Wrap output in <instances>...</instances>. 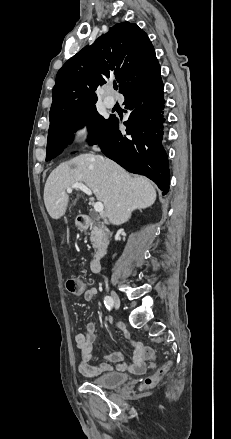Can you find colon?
I'll use <instances>...</instances> for the list:
<instances>
[{
  "label": "colon",
  "instance_id": "obj_1",
  "mask_svg": "<svg viewBox=\"0 0 231 439\" xmlns=\"http://www.w3.org/2000/svg\"><path fill=\"white\" fill-rule=\"evenodd\" d=\"M66 287H67V290L73 294H81L85 291L86 284L83 280H81L79 278H69L66 282ZM144 357L147 359L153 358V351L151 348L145 347ZM169 367H170V365L167 363V364H164L163 366H161L160 368H158L153 374L147 376L144 379L142 386L146 387V388H150V387L155 386L162 379V377L166 374Z\"/></svg>",
  "mask_w": 231,
  "mask_h": 439
}]
</instances>
